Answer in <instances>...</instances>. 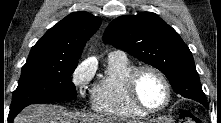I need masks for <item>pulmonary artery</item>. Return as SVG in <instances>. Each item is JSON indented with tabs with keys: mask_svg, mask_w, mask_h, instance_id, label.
<instances>
[{
	"mask_svg": "<svg viewBox=\"0 0 221 123\" xmlns=\"http://www.w3.org/2000/svg\"><path fill=\"white\" fill-rule=\"evenodd\" d=\"M115 56L125 57L124 53H122L120 51H113L109 54V57H115Z\"/></svg>",
	"mask_w": 221,
	"mask_h": 123,
	"instance_id": "1",
	"label": "pulmonary artery"
}]
</instances>
